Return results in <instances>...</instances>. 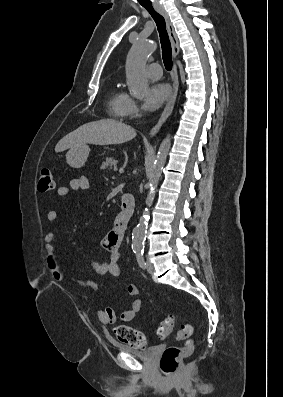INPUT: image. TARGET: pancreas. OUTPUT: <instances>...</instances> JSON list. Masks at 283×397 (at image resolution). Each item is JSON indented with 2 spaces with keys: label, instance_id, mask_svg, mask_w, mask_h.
<instances>
[{
  "label": "pancreas",
  "instance_id": "1",
  "mask_svg": "<svg viewBox=\"0 0 283 397\" xmlns=\"http://www.w3.org/2000/svg\"><path fill=\"white\" fill-rule=\"evenodd\" d=\"M116 167H117V160H115L112 157L106 158V160L101 165V168L103 170H109V169L116 168Z\"/></svg>",
  "mask_w": 283,
  "mask_h": 397
}]
</instances>
